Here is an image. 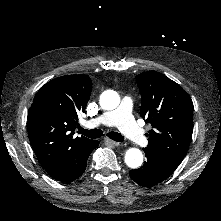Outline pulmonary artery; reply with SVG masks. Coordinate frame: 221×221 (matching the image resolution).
<instances>
[{
	"label": "pulmonary artery",
	"instance_id": "pulmonary-artery-1",
	"mask_svg": "<svg viewBox=\"0 0 221 221\" xmlns=\"http://www.w3.org/2000/svg\"><path fill=\"white\" fill-rule=\"evenodd\" d=\"M133 105L129 101H122L118 105V110H111L107 114V121L111 125H116L130 138L134 144H141L145 140V133L142 126L136 123L132 117Z\"/></svg>",
	"mask_w": 221,
	"mask_h": 221
}]
</instances>
